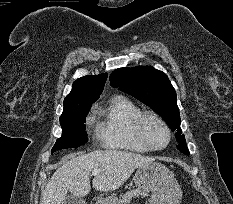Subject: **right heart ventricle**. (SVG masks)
<instances>
[{
	"label": "right heart ventricle",
	"mask_w": 233,
	"mask_h": 204,
	"mask_svg": "<svg viewBox=\"0 0 233 204\" xmlns=\"http://www.w3.org/2000/svg\"><path fill=\"white\" fill-rule=\"evenodd\" d=\"M98 137L107 149L148 152L136 138L133 123L142 110L130 99L118 95L97 109Z\"/></svg>",
	"instance_id": "right-heart-ventricle-1"
}]
</instances>
